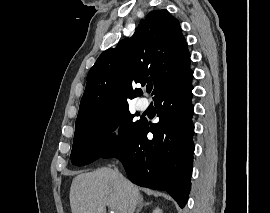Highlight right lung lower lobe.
Instances as JSON below:
<instances>
[{
  "label": "right lung lower lobe",
  "instance_id": "98d812e1",
  "mask_svg": "<svg viewBox=\"0 0 270 213\" xmlns=\"http://www.w3.org/2000/svg\"><path fill=\"white\" fill-rule=\"evenodd\" d=\"M193 71L154 96L159 122L139 125L103 158H118L129 179L143 187L167 191L184 207L190 192L194 144ZM153 133L148 139L147 133Z\"/></svg>",
  "mask_w": 270,
  "mask_h": 213
}]
</instances>
